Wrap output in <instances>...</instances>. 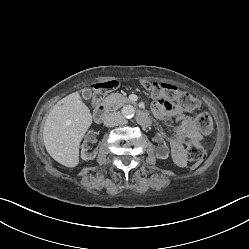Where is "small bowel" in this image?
I'll list each match as a JSON object with an SVG mask.
<instances>
[{
  "label": "small bowel",
  "instance_id": "c3829d8e",
  "mask_svg": "<svg viewBox=\"0 0 249 249\" xmlns=\"http://www.w3.org/2000/svg\"><path fill=\"white\" fill-rule=\"evenodd\" d=\"M152 114L160 119L174 117L176 127L170 137V146L173 158L177 165L185 166L186 159L184 150L189 143L198 144L202 136L198 132L193 119L185 115L173 104H167L164 101H155L151 108Z\"/></svg>",
  "mask_w": 249,
  "mask_h": 249
}]
</instances>
